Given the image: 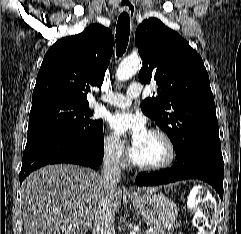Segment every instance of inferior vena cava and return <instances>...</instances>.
Listing matches in <instances>:
<instances>
[{
    "mask_svg": "<svg viewBox=\"0 0 241 234\" xmlns=\"http://www.w3.org/2000/svg\"><path fill=\"white\" fill-rule=\"evenodd\" d=\"M102 178L110 188L115 187L121 180L119 159L114 144L106 147ZM114 221L115 215L112 210L101 212L94 221L92 234H115Z\"/></svg>",
    "mask_w": 241,
    "mask_h": 234,
    "instance_id": "inferior-vena-cava-1",
    "label": "inferior vena cava"
}]
</instances>
